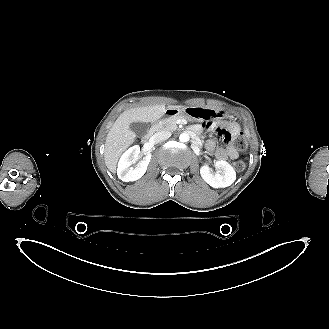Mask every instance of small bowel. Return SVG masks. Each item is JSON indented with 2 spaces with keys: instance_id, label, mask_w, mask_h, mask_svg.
Returning <instances> with one entry per match:
<instances>
[{
  "instance_id": "small-bowel-1",
  "label": "small bowel",
  "mask_w": 329,
  "mask_h": 329,
  "mask_svg": "<svg viewBox=\"0 0 329 329\" xmlns=\"http://www.w3.org/2000/svg\"><path fill=\"white\" fill-rule=\"evenodd\" d=\"M196 125L198 128L203 129L204 132L211 134L216 133V136L218 138H222L225 142V146L217 147L216 143L214 141H210L208 143V148L212 151H214L215 156L219 160H226L228 158L230 159H237L239 157V153L237 149L233 145V136L238 134L240 132V128L237 124H229L228 129L222 128L219 123L208 119L205 120L203 118H200L197 120Z\"/></svg>"
}]
</instances>
